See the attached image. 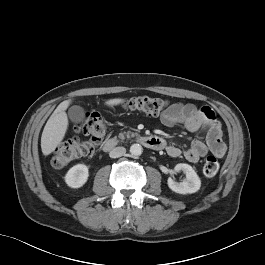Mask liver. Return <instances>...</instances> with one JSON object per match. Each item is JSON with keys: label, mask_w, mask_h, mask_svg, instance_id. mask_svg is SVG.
Returning a JSON list of instances; mask_svg holds the SVG:
<instances>
[{"label": "liver", "mask_w": 265, "mask_h": 265, "mask_svg": "<svg viewBox=\"0 0 265 265\" xmlns=\"http://www.w3.org/2000/svg\"><path fill=\"white\" fill-rule=\"evenodd\" d=\"M72 102L71 99L61 102L53 114L48 119L41 136V150L47 156L51 154L63 140L68 129V117L66 109ZM124 102V99L114 98L105 102L108 106L118 105Z\"/></svg>", "instance_id": "liver-1"}]
</instances>
